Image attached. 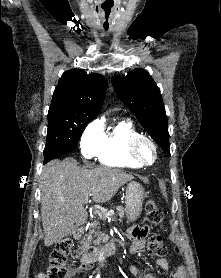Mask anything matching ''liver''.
I'll return each instance as SVG.
<instances>
[{"label": "liver", "mask_w": 221, "mask_h": 278, "mask_svg": "<svg viewBox=\"0 0 221 278\" xmlns=\"http://www.w3.org/2000/svg\"><path fill=\"white\" fill-rule=\"evenodd\" d=\"M41 179L44 244L50 246L86 222L89 195L95 203L107 202L134 176L110 167L80 168L75 159L66 158L45 165Z\"/></svg>", "instance_id": "obj_1"}]
</instances>
